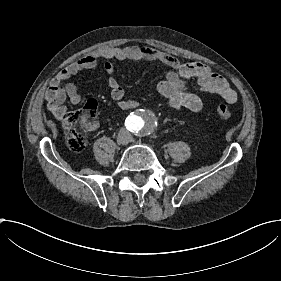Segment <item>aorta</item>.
Segmentation results:
<instances>
[{
	"label": "aorta",
	"instance_id": "762f6f07",
	"mask_svg": "<svg viewBox=\"0 0 281 281\" xmlns=\"http://www.w3.org/2000/svg\"><path fill=\"white\" fill-rule=\"evenodd\" d=\"M158 118L155 113L149 109H140L129 118L131 128L140 131L143 134H149L157 125Z\"/></svg>",
	"mask_w": 281,
	"mask_h": 281
}]
</instances>
